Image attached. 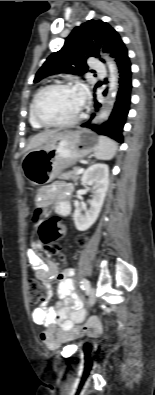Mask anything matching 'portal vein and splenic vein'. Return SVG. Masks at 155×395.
I'll use <instances>...</instances> for the list:
<instances>
[{
  "label": "portal vein and splenic vein",
  "mask_w": 155,
  "mask_h": 395,
  "mask_svg": "<svg viewBox=\"0 0 155 395\" xmlns=\"http://www.w3.org/2000/svg\"><path fill=\"white\" fill-rule=\"evenodd\" d=\"M83 171H84L83 168H79L78 171H77V174H81V173H83Z\"/></svg>",
  "instance_id": "18ae733b"
}]
</instances>
